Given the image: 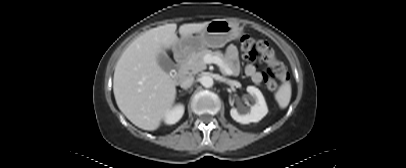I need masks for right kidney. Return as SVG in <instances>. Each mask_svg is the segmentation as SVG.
Here are the masks:
<instances>
[{"label":"right kidney","instance_id":"obj_1","mask_svg":"<svg viewBox=\"0 0 406 168\" xmlns=\"http://www.w3.org/2000/svg\"><path fill=\"white\" fill-rule=\"evenodd\" d=\"M184 113V106L179 104L172 108L168 113L165 115L164 121L166 124H175L178 122Z\"/></svg>","mask_w":406,"mask_h":168}]
</instances>
